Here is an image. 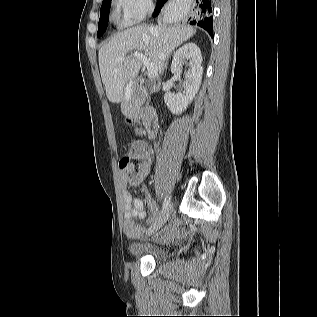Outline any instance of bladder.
<instances>
[{"mask_svg":"<svg viewBox=\"0 0 317 317\" xmlns=\"http://www.w3.org/2000/svg\"><path fill=\"white\" fill-rule=\"evenodd\" d=\"M129 252L134 258L151 257L157 260H163L169 256V253L164 247L151 243H132Z\"/></svg>","mask_w":317,"mask_h":317,"instance_id":"bladder-1","label":"bladder"}]
</instances>
